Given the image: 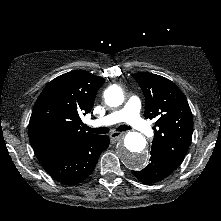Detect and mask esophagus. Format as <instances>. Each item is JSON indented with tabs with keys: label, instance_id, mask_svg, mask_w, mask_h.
<instances>
[{
	"label": "esophagus",
	"instance_id": "34e87169",
	"mask_svg": "<svg viewBox=\"0 0 221 221\" xmlns=\"http://www.w3.org/2000/svg\"><path fill=\"white\" fill-rule=\"evenodd\" d=\"M122 136H124L123 132H112L110 134V138L113 140H118L119 138H121Z\"/></svg>",
	"mask_w": 221,
	"mask_h": 221
}]
</instances>
